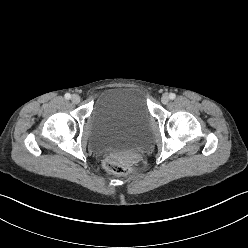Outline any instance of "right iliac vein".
Masks as SVG:
<instances>
[{"instance_id":"right-iliac-vein-1","label":"right iliac vein","mask_w":248,"mask_h":248,"mask_svg":"<svg viewBox=\"0 0 248 248\" xmlns=\"http://www.w3.org/2000/svg\"><path fill=\"white\" fill-rule=\"evenodd\" d=\"M71 100L73 103L77 104L80 102V96L77 94L72 95Z\"/></svg>"}]
</instances>
